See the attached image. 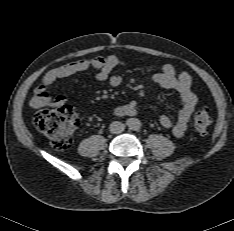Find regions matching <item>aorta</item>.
Returning a JSON list of instances; mask_svg holds the SVG:
<instances>
[{
  "label": "aorta",
  "mask_w": 234,
  "mask_h": 231,
  "mask_svg": "<svg viewBox=\"0 0 234 231\" xmlns=\"http://www.w3.org/2000/svg\"><path fill=\"white\" fill-rule=\"evenodd\" d=\"M127 125L129 129L138 131L141 128V121L137 118H131L128 120Z\"/></svg>",
  "instance_id": "obj_1"
}]
</instances>
